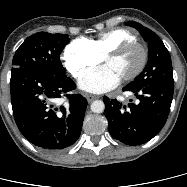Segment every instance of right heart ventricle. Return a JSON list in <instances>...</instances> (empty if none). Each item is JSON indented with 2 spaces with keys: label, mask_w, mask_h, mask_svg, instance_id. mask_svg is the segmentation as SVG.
Here are the masks:
<instances>
[{
  "label": "right heart ventricle",
  "mask_w": 187,
  "mask_h": 187,
  "mask_svg": "<svg viewBox=\"0 0 187 187\" xmlns=\"http://www.w3.org/2000/svg\"><path fill=\"white\" fill-rule=\"evenodd\" d=\"M87 40L96 54L102 58L114 47L124 42L137 41V38L130 31L118 28L101 32L94 38Z\"/></svg>",
  "instance_id": "1"
}]
</instances>
